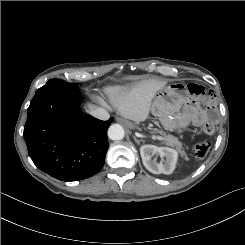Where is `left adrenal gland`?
I'll return each instance as SVG.
<instances>
[{
	"instance_id": "a2214340",
	"label": "left adrenal gland",
	"mask_w": 245,
	"mask_h": 245,
	"mask_svg": "<svg viewBox=\"0 0 245 245\" xmlns=\"http://www.w3.org/2000/svg\"><path fill=\"white\" fill-rule=\"evenodd\" d=\"M134 140L136 143H138V144L140 143V140H138L136 137H134Z\"/></svg>"
}]
</instances>
